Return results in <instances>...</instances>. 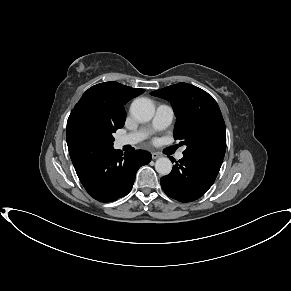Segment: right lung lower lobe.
<instances>
[{"label": "right lung lower lobe", "instance_id": "1", "mask_svg": "<svg viewBox=\"0 0 291 291\" xmlns=\"http://www.w3.org/2000/svg\"><path fill=\"white\" fill-rule=\"evenodd\" d=\"M71 160L86 191L100 202L115 201L127 195L137 170L151 161L147 151L136 150L124 155L113 146L89 139L67 138Z\"/></svg>", "mask_w": 291, "mask_h": 291}]
</instances>
